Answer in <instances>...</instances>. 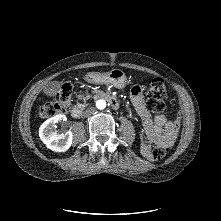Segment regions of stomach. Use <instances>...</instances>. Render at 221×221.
Masks as SVG:
<instances>
[{"instance_id":"1","label":"stomach","mask_w":221,"mask_h":221,"mask_svg":"<svg viewBox=\"0 0 221 221\" xmlns=\"http://www.w3.org/2000/svg\"><path fill=\"white\" fill-rule=\"evenodd\" d=\"M88 83L112 85L122 89L128 84L127 77L121 69H112L108 72H89L84 76Z\"/></svg>"}]
</instances>
